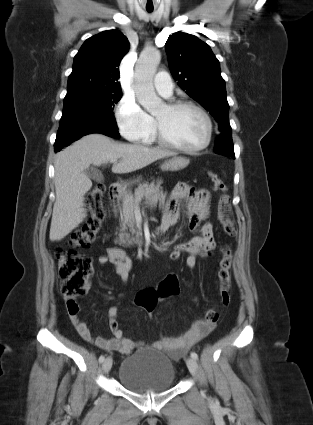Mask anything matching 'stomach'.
<instances>
[{
	"label": "stomach",
	"mask_w": 313,
	"mask_h": 425,
	"mask_svg": "<svg viewBox=\"0 0 313 425\" xmlns=\"http://www.w3.org/2000/svg\"><path fill=\"white\" fill-rule=\"evenodd\" d=\"M190 160L186 157H182V156H174L172 159H169L167 161H165L162 165H161V169L163 171H179L184 169L185 167L188 166ZM139 180H137L138 182ZM134 182H131L130 184H132Z\"/></svg>",
	"instance_id": "obj_1"
}]
</instances>
